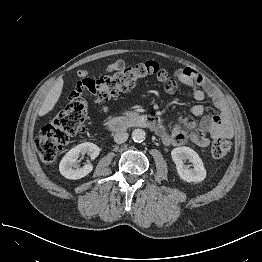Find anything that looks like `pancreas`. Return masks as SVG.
<instances>
[{
    "label": "pancreas",
    "mask_w": 262,
    "mask_h": 262,
    "mask_svg": "<svg viewBox=\"0 0 262 262\" xmlns=\"http://www.w3.org/2000/svg\"><path fill=\"white\" fill-rule=\"evenodd\" d=\"M128 116H133V114L129 113Z\"/></svg>",
    "instance_id": "cf45deb5"
}]
</instances>
